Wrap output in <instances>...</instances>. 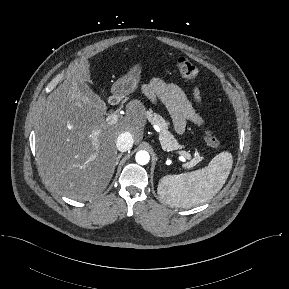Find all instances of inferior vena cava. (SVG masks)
Wrapping results in <instances>:
<instances>
[{
    "instance_id": "inferior-vena-cava-1",
    "label": "inferior vena cava",
    "mask_w": 289,
    "mask_h": 289,
    "mask_svg": "<svg viewBox=\"0 0 289 289\" xmlns=\"http://www.w3.org/2000/svg\"><path fill=\"white\" fill-rule=\"evenodd\" d=\"M133 142L134 139L132 134L129 132H123L117 138L116 147L120 152H126L132 148Z\"/></svg>"
}]
</instances>
